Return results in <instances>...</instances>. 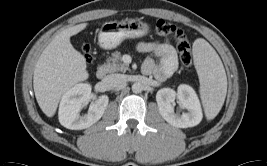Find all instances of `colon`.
I'll return each instance as SVG.
<instances>
[{"label": "colon", "mask_w": 267, "mask_h": 166, "mask_svg": "<svg viewBox=\"0 0 267 166\" xmlns=\"http://www.w3.org/2000/svg\"><path fill=\"white\" fill-rule=\"evenodd\" d=\"M155 32L161 36H171L175 39L177 43V50L179 52L180 61L182 65L188 69L192 70V56H191V46L185 32L172 24L171 22L158 19L154 24ZM87 61L91 60V48L88 43L83 47Z\"/></svg>", "instance_id": "1"}]
</instances>
